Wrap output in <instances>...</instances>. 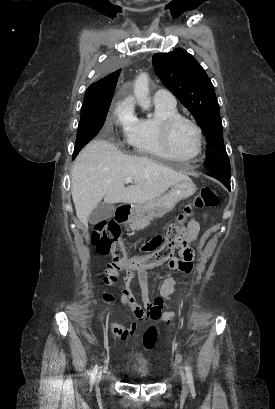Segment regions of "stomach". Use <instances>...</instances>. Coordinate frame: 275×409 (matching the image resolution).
<instances>
[{"label":"stomach","mask_w":275,"mask_h":409,"mask_svg":"<svg viewBox=\"0 0 275 409\" xmlns=\"http://www.w3.org/2000/svg\"><path fill=\"white\" fill-rule=\"evenodd\" d=\"M195 190L196 184L191 178L179 180L162 196L143 202V205H135L131 211L129 223H141V221H151L153 217H160V215L172 211L179 200L192 196Z\"/></svg>","instance_id":"obj_1"}]
</instances>
